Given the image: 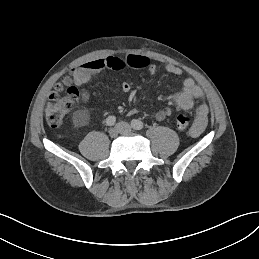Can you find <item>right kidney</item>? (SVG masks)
I'll use <instances>...</instances> for the list:
<instances>
[{
	"mask_svg": "<svg viewBox=\"0 0 259 259\" xmlns=\"http://www.w3.org/2000/svg\"><path fill=\"white\" fill-rule=\"evenodd\" d=\"M72 121L75 127H84L90 123L89 112L85 109L77 110L72 113Z\"/></svg>",
	"mask_w": 259,
	"mask_h": 259,
	"instance_id": "obj_1",
	"label": "right kidney"
}]
</instances>
